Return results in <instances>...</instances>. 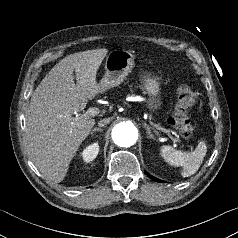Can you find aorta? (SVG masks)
<instances>
[{
	"instance_id": "obj_1",
	"label": "aorta",
	"mask_w": 238,
	"mask_h": 238,
	"mask_svg": "<svg viewBox=\"0 0 238 238\" xmlns=\"http://www.w3.org/2000/svg\"><path fill=\"white\" fill-rule=\"evenodd\" d=\"M112 139L120 147H130L138 139V130L131 123H119L112 130Z\"/></svg>"
}]
</instances>
